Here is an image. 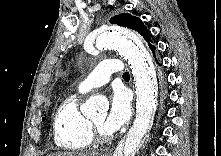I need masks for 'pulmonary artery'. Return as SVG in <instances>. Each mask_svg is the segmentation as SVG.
I'll list each match as a JSON object with an SVG mask.
<instances>
[{"label":"pulmonary artery","instance_id":"obj_1","mask_svg":"<svg viewBox=\"0 0 221 156\" xmlns=\"http://www.w3.org/2000/svg\"><path fill=\"white\" fill-rule=\"evenodd\" d=\"M123 69V64L118 59H105L80 82L78 87L79 91L81 93H88L106 84L110 80L112 74L121 73Z\"/></svg>","mask_w":221,"mask_h":156}]
</instances>
